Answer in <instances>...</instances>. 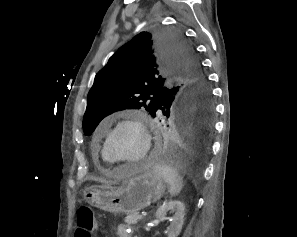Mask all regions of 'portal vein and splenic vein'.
Returning <instances> with one entry per match:
<instances>
[{
  "label": "portal vein and splenic vein",
  "mask_w": 297,
  "mask_h": 237,
  "mask_svg": "<svg viewBox=\"0 0 297 237\" xmlns=\"http://www.w3.org/2000/svg\"><path fill=\"white\" fill-rule=\"evenodd\" d=\"M142 217H143V214H142V215H139V216H138V219H141Z\"/></svg>",
  "instance_id": "obj_1"
}]
</instances>
